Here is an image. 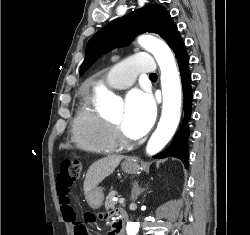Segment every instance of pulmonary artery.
<instances>
[{
  "label": "pulmonary artery",
  "instance_id": "e3ab8cb5",
  "mask_svg": "<svg viewBox=\"0 0 250 235\" xmlns=\"http://www.w3.org/2000/svg\"><path fill=\"white\" fill-rule=\"evenodd\" d=\"M155 60L148 52H140L124 60L120 65L110 71L105 81L109 88L125 89L133 84L136 72L154 73Z\"/></svg>",
  "mask_w": 250,
  "mask_h": 235
}]
</instances>
